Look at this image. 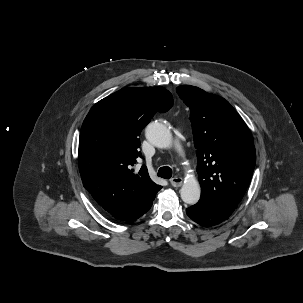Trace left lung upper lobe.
Segmentation results:
<instances>
[{"mask_svg": "<svg viewBox=\"0 0 303 303\" xmlns=\"http://www.w3.org/2000/svg\"><path fill=\"white\" fill-rule=\"evenodd\" d=\"M177 93L190 108L200 201L232 214L241 202L255 167V147L243 119L224 98L183 85Z\"/></svg>", "mask_w": 303, "mask_h": 303, "instance_id": "1", "label": "left lung upper lobe"}]
</instances>
